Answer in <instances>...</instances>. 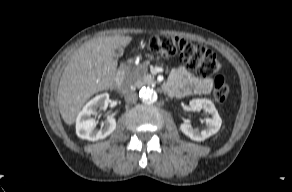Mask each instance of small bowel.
Listing matches in <instances>:
<instances>
[{
	"mask_svg": "<svg viewBox=\"0 0 292 192\" xmlns=\"http://www.w3.org/2000/svg\"><path fill=\"white\" fill-rule=\"evenodd\" d=\"M211 87V78L197 77L187 68L180 66L171 72L165 89L171 96L184 97L193 94H207Z\"/></svg>",
	"mask_w": 292,
	"mask_h": 192,
	"instance_id": "small-bowel-1",
	"label": "small bowel"
}]
</instances>
